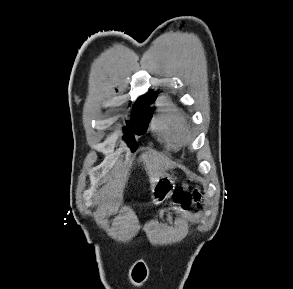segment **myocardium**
<instances>
[{"mask_svg":"<svg viewBox=\"0 0 293 289\" xmlns=\"http://www.w3.org/2000/svg\"><path fill=\"white\" fill-rule=\"evenodd\" d=\"M192 137H193V136H192V134L190 133V134H189V137H188V141H190V140L192 139Z\"/></svg>","mask_w":293,"mask_h":289,"instance_id":"myocardium-1","label":"myocardium"}]
</instances>
